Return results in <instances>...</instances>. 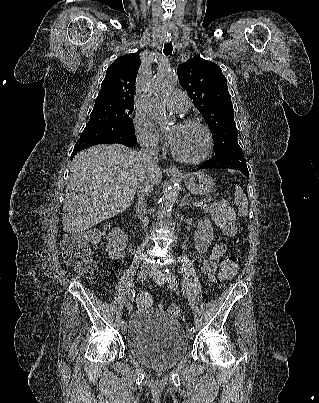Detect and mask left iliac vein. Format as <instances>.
Masks as SVG:
<instances>
[{"label": "left iliac vein", "instance_id": "1", "mask_svg": "<svg viewBox=\"0 0 319 403\" xmlns=\"http://www.w3.org/2000/svg\"><path fill=\"white\" fill-rule=\"evenodd\" d=\"M150 276L156 282V284H158L159 286H163L166 282L164 273L157 267H153L151 269ZM187 337L189 339H192L194 337V332L189 330L187 332Z\"/></svg>", "mask_w": 319, "mask_h": 403}]
</instances>
